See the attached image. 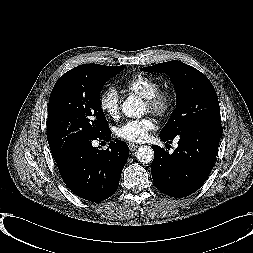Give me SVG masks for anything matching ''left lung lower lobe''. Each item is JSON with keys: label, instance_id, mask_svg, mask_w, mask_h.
<instances>
[{"label": "left lung lower lobe", "instance_id": "obj_1", "mask_svg": "<svg viewBox=\"0 0 253 253\" xmlns=\"http://www.w3.org/2000/svg\"><path fill=\"white\" fill-rule=\"evenodd\" d=\"M177 137L178 148L173 154L152 146L155 156L151 173L158 190L180 198L197 191L208 178L216 159L221 128L193 126ZM160 138L163 142L174 139L161 135Z\"/></svg>", "mask_w": 253, "mask_h": 253}]
</instances>
